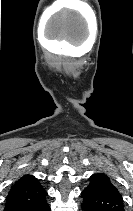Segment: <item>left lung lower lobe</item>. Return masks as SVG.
Returning a JSON list of instances; mask_svg holds the SVG:
<instances>
[{
	"label": "left lung lower lobe",
	"instance_id": "obj_1",
	"mask_svg": "<svg viewBox=\"0 0 133 211\" xmlns=\"http://www.w3.org/2000/svg\"><path fill=\"white\" fill-rule=\"evenodd\" d=\"M81 195L84 211H124L122 197L113 193L87 186Z\"/></svg>",
	"mask_w": 133,
	"mask_h": 211
}]
</instances>
